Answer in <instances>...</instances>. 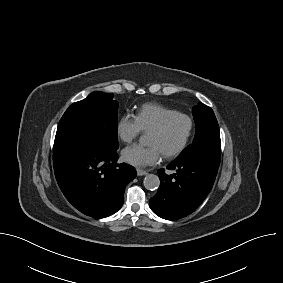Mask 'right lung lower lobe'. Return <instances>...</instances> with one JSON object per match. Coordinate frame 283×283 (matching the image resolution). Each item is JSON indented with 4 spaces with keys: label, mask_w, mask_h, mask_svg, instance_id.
Returning <instances> with one entry per match:
<instances>
[{
    "label": "right lung lower lobe",
    "mask_w": 283,
    "mask_h": 283,
    "mask_svg": "<svg viewBox=\"0 0 283 283\" xmlns=\"http://www.w3.org/2000/svg\"><path fill=\"white\" fill-rule=\"evenodd\" d=\"M116 151L77 138L54 143L56 180L66 199L81 213L98 219L122 207L125 186L137 173L134 167L117 163Z\"/></svg>",
    "instance_id": "1"
}]
</instances>
